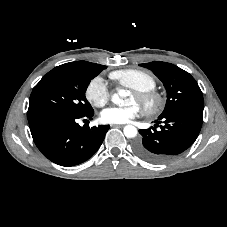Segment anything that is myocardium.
I'll return each instance as SVG.
<instances>
[{"instance_id": "f54148a6", "label": "myocardium", "mask_w": 227, "mask_h": 227, "mask_svg": "<svg viewBox=\"0 0 227 227\" xmlns=\"http://www.w3.org/2000/svg\"><path fill=\"white\" fill-rule=\"evenodd\" d=\"M133 96L136 98L137 103L140 105L144 114L148 116L156 115L164 108L165 98L155 89L134 91Z\"/></svg>"}]
</instances>
